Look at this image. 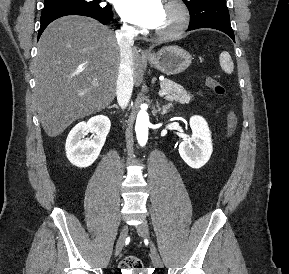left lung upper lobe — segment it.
<instances>
[{"instance_id":"obj_1","label":"left lung upper lobe","mask_w":289,"mask_h":274,"mask_svg":"<svg viewBox=\"0 0 289 274\" xmlns=\"http://www.w3.org/2000/svg\"><path fill=\"white\" fill-rule=\"evenodd\" d=\"M190 13V26L203 23H228L226 0H183Z\"/></svg>"}]
</instances>
